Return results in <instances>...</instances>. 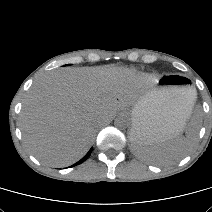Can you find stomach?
<instances>
[{"instance_id": "1", "label": "stomach", "mask_w": 212, "mask_h": 212, "mask_svg": "<svg viewBox=\"0 0 212 212\" xmlns=\"http://www.w3.org/2000/svg\"><path fill=\"white\" fill-rule=\"evenodd\" d=\"M156 83L159 86L149 91L132 109L130 138L133 143L137 127L153 140H170L183 131L186 119L183 120L180 115V98L189 86L178 75L160 77Z\"/></svg>"}]
</instances>
